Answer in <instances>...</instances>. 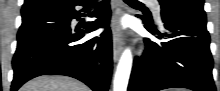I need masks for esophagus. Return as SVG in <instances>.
<instances>
[{
	"instance_id": "obj_1",
	"label": "esophagus",
	"mask_w": 220,
	"mask_h": 91,
	"mask_svg": "<svg viewBox=\"0 0 220 91\" xmlns=\"http://www.w3.org/2000/svg\"><path fill=\"white\" fill-rule=\"evenodd\" d=\"M122 7H123V1L116 0L115 1V23H114V29H113V59L115 62H117L118 59L120 58L121 53L123 51V44H124L123 34L118 24V17L122 13Z\"/></svg>"
}]
</instances>
